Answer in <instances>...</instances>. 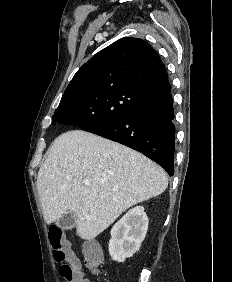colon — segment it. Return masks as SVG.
Returning a JSON list of instances; mask_svg holds the SVG:
<instances>
[{"label": "colon", "instance_id": "5ec220e1", "mask_svg": "<svg viewBox=\"0 0 232 282\" xmlns=\"http://www.w3.org/2000/svg\"><path fill=\"white\" fill-rule=\"evenodd\" d=\"M49 241L56 262L60 263L59 273L67 282H80L82 271L80 263L73 257L66 248L63 240V232L58 227L49 229ZM101 262V252L97 246L88 243L84 247V263L86 267L97 271Z\"/></svg>", "mask_w": 232, "mask_h": 282}]
</instances>
